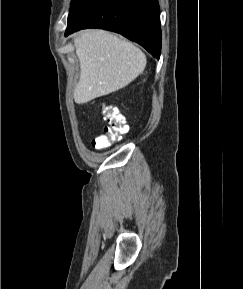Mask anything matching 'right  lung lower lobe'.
Here are the masks:
<instances>
[{"label": "right lung lower lobe", "mask_w": 243, "mask_h": 289, "mask_svg": "<svg viewBox=\"0 0 243 289\" xmlns=\"http://www.w3.org/2000/svg\"><path fill=\"white\" fill-rule=\"evenodd\" d=\"M86 28L117 32L143 46L157 59L160 57L158 0H81L68 16L65 36Z\"/></svg>", "instance_id": "right-lung-lower-lobe-1"}]
</instances>
